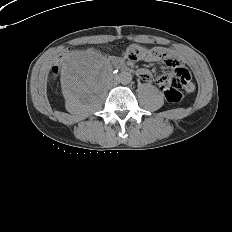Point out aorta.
I'll use <instances>...</instances> for the list:
<instances>
[{
	"instance_id": "1",
	"label": "aorta",
	"mask_w": 232,
	"mask_h": 232,
	"mask_svg": "<svg viewBox=\"0 0 232 232\" xmlns=\"http://www.w3.org/2000/svg\"><path fill=\"white\" fill-rule=\"evenodd\" d=\"M121 83L127 84L131 81V75L129 73H123L121 74Z\"/></svg>"
}]
</instances>
